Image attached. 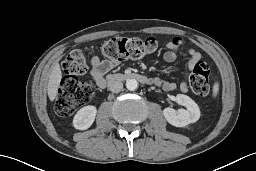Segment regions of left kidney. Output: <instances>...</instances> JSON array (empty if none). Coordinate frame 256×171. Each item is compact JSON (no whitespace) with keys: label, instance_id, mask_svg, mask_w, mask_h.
I'll use <instances>...</instances> for the list:
<instances>
[{"label":"left kidney","instance_id":"obj_1","mask_svg":"<svg viewBox=\"0 0 256 171\" xmlns=\"http://www.w3.org/2000/svg\"><path fill=\"white\" fill-rule=\"evenodd\" d=\"M175 101L186 107L176 112L173 108H165L163 115L171 125L175 127H185L188 124L195 123L200 118V110L198 105L187 95L177 94Z\"/></svg>","mask_w":256,"mask_h":171}]
</instances>
